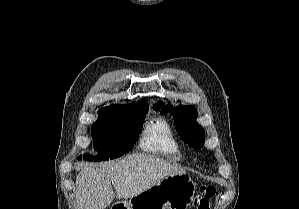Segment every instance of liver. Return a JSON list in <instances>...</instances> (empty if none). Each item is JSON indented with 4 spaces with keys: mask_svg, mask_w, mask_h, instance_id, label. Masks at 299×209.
Returning <instances> with one entry per match:
<instances>
[{
    "mask_svg": "<svg viewBox=\"0 0 299 209\" xmlns=\"http://www.w3.org/2000/svg\"><path fill=\"white\" fill-rule=\"evenodd\" d=\"M185 171L159 157L133 154L121 160L85 166L76 177L77 209H105L114 200L132 198L165 177Z\"/></svg>",
    "mask_w": 299,
    "mask_h": 209,
    "instance_id": "liver-1",
    "label": "liver"
}]
</instances>
